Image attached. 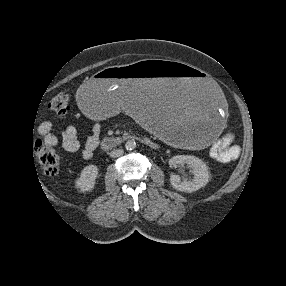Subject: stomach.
<instances>
[{
  "label": "stomach",
  "instance_id": "0dacf381",
  "mask_svg": "<svg viewBox=\"0 0 286 286\" xmlns=\"http://www.w3.org/2000/svg\"><path fill=\"white\" fill-rule=\"evenodd\" d=\"M91 114L136 115L159 139L181 147L213 140L228 118V102L208 75L177 61H140L98 72L81 92Z\"/></svg>",
  "mask_w": 286,
  "mask_h": 286
}]
</instances>
